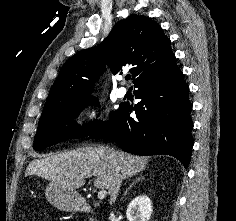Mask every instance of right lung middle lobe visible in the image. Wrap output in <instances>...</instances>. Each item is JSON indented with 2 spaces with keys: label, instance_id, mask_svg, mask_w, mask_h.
Instances as JSON below:
<instances>
[{
  "label": "right lung middle lobe",
  "instance_id": "right-lung-middle-lobe-1",
  "mask_svg": "<svg viewBox=\"0 0 236 221\" xmlns=\"http://www.w3.org/2000/svg\"><path fill=\"white\" fill-rule=\"evenodd\" d=\"M94 103H98L97 98L94 96H84L62 104L55 109L44 111L38 124L34 149L40 151L68 139L93 135L102 129L107 122L97 120L81 127L74 121L85 106ZM122 105L123 103L120 104V107ZM115 113L112 112L110 117Z\"/></svg>",
  "mask_w": 236,
  "mask_h": 221
}]
</instances>
